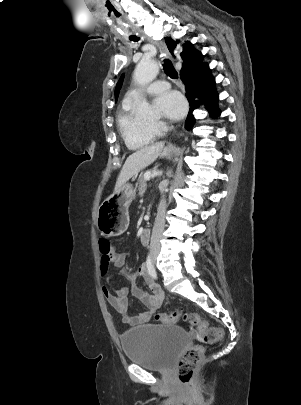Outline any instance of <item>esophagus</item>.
<instances>
[{
	"label": "esophagus",
	"instance_id": "34e87169",
	"mask_svg": "<svg viewBox=\"0 0 301 405\" xmlns=\"http://www.w3.org/2000/svg\"><path fill=\"white\" fill-rule=\"evenodd\" d=\"M138 34L145 40H149V41L151 40V38L149 36H147V34L143 31H140ZM157 45L162 54L170 56V54L167 50V47L163 41L158 42Z\"/></svg>",
	"mask_w": 301,
	"mask_h": 405
}]
</instances>
